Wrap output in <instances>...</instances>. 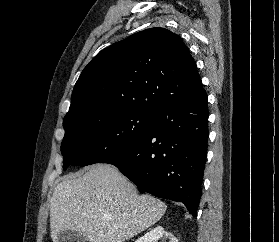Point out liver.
Instances as JSON below:
<instances>
[{
	"label": "liver",
	"mask_w": 279,
	"mask_h": 242,
	"mask_svg": "<svg viewBox=\"0 0 279 242\" xmlns=\"http://www.w3.org/2000/svg\"><path fill=\"white\" fill-rule=\"evenodd\" d=\"M166 205L148 195H139L133 183L118 169L97 164L85 173L67 175L57 184L50 200L53 242L71 230L90 242H123L156 223Z\"/></svg>",
	"instance_id": "obj_1"
}]
</instances>
